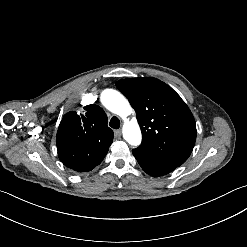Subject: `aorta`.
<instances>
[{
    "label": "aorta",
    "mask_w": 247,
    "mask_h": 247,
    "mask_svg": "<svg viewBox=\"0 0 247 247\" xmlns=\"http://www.w3.org/2000/svg\"><path fill=\"white\" fill-rule=\"evenodd\" d=\"M102 104L112 113L119 115L125 120L123 125V137L130 144L138 146L142 135L139 124L135 118L127 120L126 117L132 113L128 100L118 91L105 89L100 96Z\"/></svg>",
    "instance_id": "1"
}]
</instances>
